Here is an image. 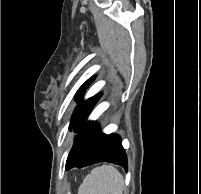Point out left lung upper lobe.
I'll use <instances>...</instances> for the list:
<instances>
[{
    "instance_id": "1",
    "label": "left lung upper lobe",
    "mask_w": 201,
    "mask_h": 194,
    "mask_svg": "<svg viewBox=\"0 0 201 194\" xmlns=\"http://www.w3.org/2000/svg\"><path fill=\"white\" fill-rule=\"evenodd\" d=\"M92 80H93V78H91L90 80L85 82L79 88V90L76 93V99H80V97L82 96V94L84 92V89L91 83ZM99 98H100V94H97V95L91 97L90 99H88L84 102H81L76 107V109L73 113L69 128H72V129L75 128L78 131L84 125L83 123L85 122L87 116L89 115V113L93 109L94 105L99 100Z\"/></svg>"
}]
</instances>
